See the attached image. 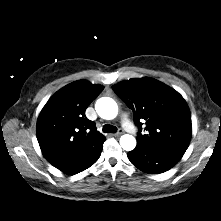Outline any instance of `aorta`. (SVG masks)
Instances as JSON below:
<instances>
[{
    "mask_svg": "<svg viewBox=\"0 0 221 221\" xmlns=\"http://www.w3.org/2000/svg\"><path fill=\"white\" fill-rule=\"evenodd\" d=\"M95 109L98 115L106 120L114 119L118 114V106L115 100L110 97H102L97 100ZM120 145L126 151H131L136 147L134 136L125 134L120 138Z\"/></svg>",
    "mask_w": 221,
    "mask_h": 221,
    "instance_id": "762f6f07",
    "label": "aorta"
}]
</instances>
